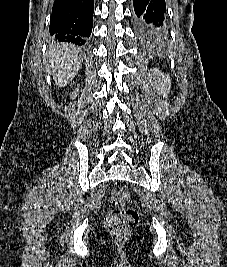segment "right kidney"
<instances>
[{"label": "right kidney", "instance_id": "ca27d5eb", "mask_svg": "<svg viewBox=\"0 0 227 267\" xmlns=\"http://www.w3.org/2000/svg\"><path fill=\"white\" fill-rule=\"evenodd\" d=\"M78 91H79L78 89H75V91L72 93V94H73L72 99L75 98V97L77 96Z\"/></svg>", "mask_w": 227, "mask_h": 267}]
</instances>
